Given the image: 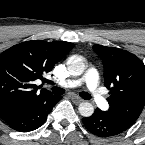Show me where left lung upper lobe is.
Instances as JSON below:
<instances>
[{
    "label": "left lung upper lobe",
    "instance_id": "left-lung-upper-lobe-1",
    "mask_svg": "<svg viewBox=\"0 0 145 145\" xmlns=\"http://www.w3.org/2000/svg\"><path fill=\"white\" fill-rule=\"evenodd\" d=\"M104 65V82L110 90L105 114L128 129L145 105V65L134 54L114 47L93 46Z\"/></svg>",
    "mask_w": 145,
    "mask_h": 145
}]
</instances>
